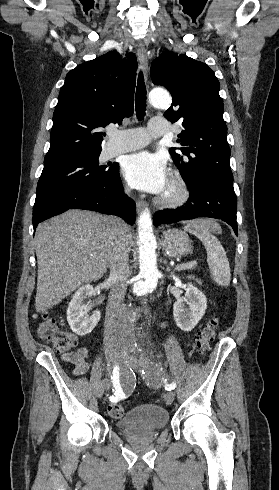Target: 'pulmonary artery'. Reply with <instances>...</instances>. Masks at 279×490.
<instances>
[{
    "label": "pulmonary artery",
    "instance_id": "e3ab8cb5",
    "mask_svg": "<svg viewBox=\"0 0 279 490\" xmlns=\"http://www.w3.org/2000/svg\"><path fill=\"white\" fill-rule=\"evenodd\" d=\"M148 133L142 128H111V146L105 148V156L114 157L140 149L149 144L152 137L166 132L168 125L164 117H150Z\"/></svg>",
    "mask_w": 279,
    "mask_h": 490
}]
</instances>
